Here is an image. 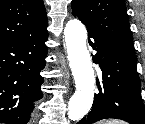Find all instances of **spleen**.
<instances>
[{
	"label": "spleen",
	"instance_id": "1",
	"mask_svg": "<svg viewBox=\"0 0 145 124\" xmlns=\"http://www.w3.org/2000/svg\"><path fill=\"white\" fill-rule=\"evenodd\" d=\"M99 124H126V123H124L123 121L112 119V120H107L106 122H101Z\"/></svg>",
	"mask_w": 145,
	"mask_h": 124
}]
</instances>
